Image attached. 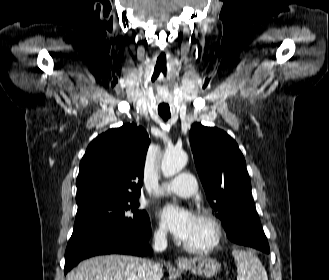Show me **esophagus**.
Segmentation results:
<instances>
[{
	"label": "esophagus",
	"mask_w": 329,
	"mask_h": 280,
	"mask_svg": "<svg viewBox=\"0 0 329 280\" xmlns=\"http://www.w3.org/2000/svg\"><path fill=\"white\" fill-rule=\"evenodd\" d=\"M189 263L190 262L187 258L180 257V258L177 259V264H179V265H187Z\"/></svg>",
	"instance_id": "obj_1"
}]
</instances>
